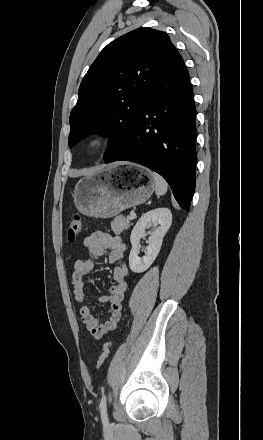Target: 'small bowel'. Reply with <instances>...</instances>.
I'll return each instance as SVG.
<instances>
[{"mask_svg": "<svg viewBox=\"0 0 263 440\" xmlns=\"http://www.w3.org/2000/svg\"><path fill=\"white\" fill-rule=\"evenodd\" d=\"M82 245L94 258H100L108 252V262L113 265L114 284L109 288L108 294L99 299L101 303L109 304L107 319L101 322L89 306H82L79 309L86 329L93 338L99 339L113 331L121 318L122 302L127 291L126 245L121 237L103 231H96L86 236ZM95 269L96 264L92 258H81L75 262L72 287L76 302H83L86 299V278Z\"/></svg>", "mask_w": 263, "mask_h": 440, "instance_id": "c3829d8e", "label": "small bowel"}]
</instances>
